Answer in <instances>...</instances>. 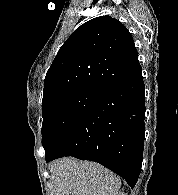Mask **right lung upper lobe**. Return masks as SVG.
Segmentation results:
<instances>
[{"mask_svg":"<svg viewBox=\"0 0 178 195\" xmlns=\"http://www.w3.org/2000/svg\"><path fill=\"white\" fill-rule=\"evenodd\" d=\"M141 70L134 40L110 16L77 28L59 49L44 80L43 101L69 91L106 86Z\"/></svg>","mask_w":178,"mask_h":195,"instance_id":"cb5924a9","label":"right lung upper lobe"}]
</instances>
